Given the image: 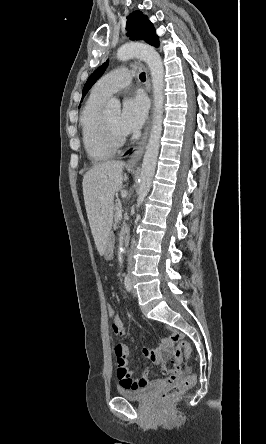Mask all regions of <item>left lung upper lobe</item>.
I'll use <instances>...</instances> for the list:
<instances>
[{
  "instance_id": "obj_1",
  "label": "left lung upper lobe",
  "mask_w": 266,
  "mask_h": 444,
  "mask_svg": "<svg viewBox=\"0 0 266 444\" xmlns=\"http://www.w3.org/2000/svg\"><path fill=\"white\" fill-rule=\"evenodd\" d=\"M126 29L128 30L127 35H129L132 40L142 39L155 47H157L159 44V40L155 34V29L152 23H150L147 16H144L140 11H135L127 17ZM107 66L108 60L90 75L83 88L82 99L85 97L92 85L103 75Z\"/></svg>"
}]
</instances>
